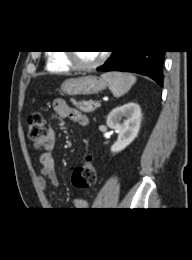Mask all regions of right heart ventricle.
<instances>
[{"label":"right heart ventricle","instance_id":"obj_1","mask_svg":"<svg viewBox=\"0 0 192 260\" xmlns=\"http://www.w3.org/2000/svg\"><path fill=\"white\" fill-rule=\"evenodd\" d=\"M71 65L67 62L64 53L53 52L48 56L47 69L51 72L64 73L71 70Z\"/></svg>","mask_w":192,"mask_h":260}]
</instances>
